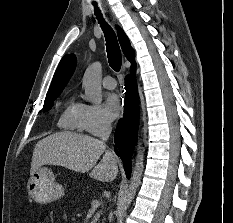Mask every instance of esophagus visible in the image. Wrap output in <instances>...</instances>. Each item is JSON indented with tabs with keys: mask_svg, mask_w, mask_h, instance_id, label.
Returning a JSON list of instances; mask_svg holds the SVG:
<instances>
[{
	"mask_svg": "<svg viewBox=\"0 0 233 223\" xmlns=\"http://www.w3.org/2000/svg\"><path fill=\"white\" fill-rule=\"evenodd\" d=\"M126 75V73H125V69L123 70V76H125Z\"/></svg>",
	"mask_w": 233,
	"mask_h": 223,
	"instance_id": "obj_1",
	"label": "esophagus"
}]
</instances>
